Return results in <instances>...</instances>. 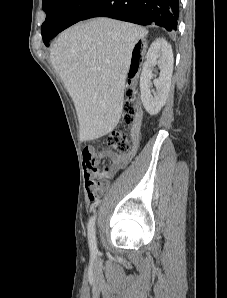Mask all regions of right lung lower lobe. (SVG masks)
I'll list each match as a JSON object with an SVG mask.
<instances>
[{
    "label": "right lung lower lobe",
    "instance_id": "98d812e1",
    "mask_svg": "<svg viewBox=\"0 0 227 298\" xmlns=\"http://www.w3.org/2000/svg\"><path fill=\"white\" fill-rule=\"evenodd\" d=\"M178 16L179 0H100L81 20L110 17L140 25L155 23L176 31Z\"/></svg>",
    "mask_w": 227,
    "mask_h": 298
}]
</instances>
